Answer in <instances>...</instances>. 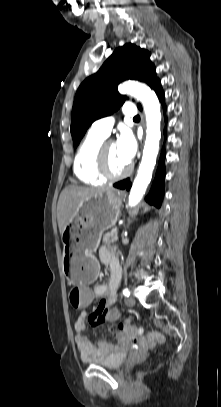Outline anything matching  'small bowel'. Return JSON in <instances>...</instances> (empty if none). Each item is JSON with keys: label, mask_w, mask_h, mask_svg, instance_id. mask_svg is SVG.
<instances>
[{"label": "small bowel", "mask_w": 221, "mask_h": 407, "mask_svg": "<svg viewBox=\"0 0 221 407\" xmlns=\"http://www.w3.org/2000/svg\"><path fill=\"white\" fill-rule=\"evenodd\" d=\"M99 260L102 264L109 266L110 276L107 282H100L93 286V300L97 298L101 300L98 306L93 307V312L88 317L90 324L93 326L101 325L104 322H112L105 320V311L108 305H114L121 279L119 261L110 249L106 247L101 248L99 250ZM85 321L86 312L83 311L74 322V341L83 360L90 361L104 358L117 350L116 347L109 342L99 344L83 335V331L86 328ZM116 336L119 339L124 338L121 331L117 332Z\"/></svg>", "instance_id": "small-bowel-1"}]
</instances>
